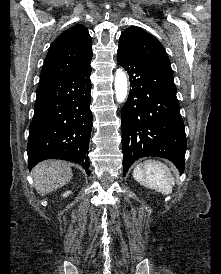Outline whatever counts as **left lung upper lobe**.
Returning <instances> with one entry per match:
<instances>
[{"mask_svg": "<svg viewBox=\"0 0 221 274\" xmlns=\"http://www.w3.org/2000/svg\"><path fill=\"white\" fill-rule=\"evenodd\" d=\"M118 49L173 75L170 60L162 44L153 35L139 27H129L122 32Z\"/></svg>", "mask_w": 221, "mask_h": 274, "instance_id": "1", "label": "left lung upper lobe"}]
</instances>
